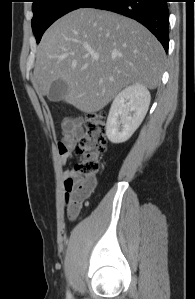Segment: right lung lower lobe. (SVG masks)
<instances>
[{
	"mask_svg": "<svg viewBox=\"0 0 195 299\" xmlns=\"http://www.w3.org/2000/svg\"><path fill=\"white\" fill-rule=\"evenodd\" d=\"M168 0H89L82 7L113 11L135 19L148 28L168 50Z\"/></svg>",
	"mask_w": 195,
	"mask_h": 299,
	"instance_id": "right-lung-lower-lobe-1",
	"label": "right lung lower lobe"
}]
</instances>
